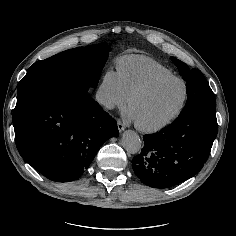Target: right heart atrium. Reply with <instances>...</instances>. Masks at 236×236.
Returning a JSON list of instances; mask_svg holds the SVG:
<instances>
[{
    "instance_id": "d8ad5b80",
    "label": "right heart atrium",
    "mask_w": 236,
    "mask_h": 236,
    "mask_svg": "<svg viewBox=\"0 0 236 236\" xmlns=\"http://www.w3.org/2000/svg\"><path fill=\"white\" fill-rule=\"evenodd\" d=\"M130 96L125 90L118 71L106 69L96 89V100L106 110L122 109Z\"/></svg>"
}]
</instances>
